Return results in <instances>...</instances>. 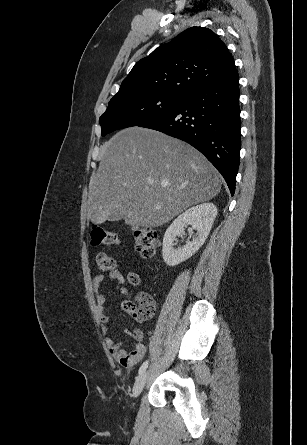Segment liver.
Returning a JSON list of instances; mask_svg holds the SVG:
<instances>
[{"instance_id":"obj_1","label":"liver","mask_w":307,"mask_h":445,"mask_svg":"<svg viewBox=\"0 0 307 445\" xmlns=\"http://www.w3.org/2000/svg\"><path fill=\"white\" fill-rule=\"evenodd\" d=\"M100 154L88 192L94 225L124 218L131 227H161L220 192V174L206 156L159 130L123 128L101 144Z\"/></svg>"}]
</instances>
